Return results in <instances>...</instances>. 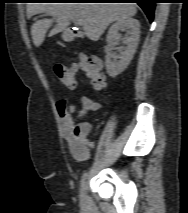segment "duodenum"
Returning a JSON list of instances; mask_svg holds the SVG:
<instances>
[{"mask_svg":"<svg viewBox=\"0 0 188 213\" xmlns=\"http://www.w3.org/2000/svg\"><path fill=\"white\" fill-rule=\"evenodd\" d=\"M74 36H75V37H78V36H79V33H75ZM93 60L99 63V58H98L97 56H95V57L93 58Z\"/></svg>","mask_w":188,"mask_h":213,"instance_id":"obj_1","label":"duodenum"}]
</instances>
